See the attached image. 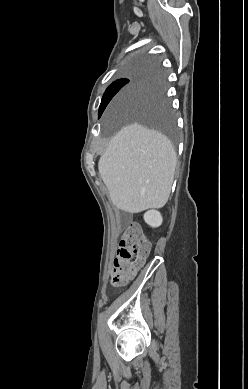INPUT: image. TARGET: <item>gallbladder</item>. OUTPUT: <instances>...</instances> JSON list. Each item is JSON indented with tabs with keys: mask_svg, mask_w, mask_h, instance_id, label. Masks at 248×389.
Instances as JSON below:
<instances>
[{
	"mask_svg": "<svg viewBox=\"0 0 248 389\" xmlns=\"http://www.w3.org/2000/svg\"><path fill=\"white\" fill-rule=\"evenodd\" d=\"M130 220H131V216L126 214V215H124L123 218H122V223L125 225V224H127Z\"/></svg>",
	"mask_w": 248,
	"mask_h": 389,
	"instance_id": "gallbladder-1",
	"label": "gallbladder"
}]
</instances>
